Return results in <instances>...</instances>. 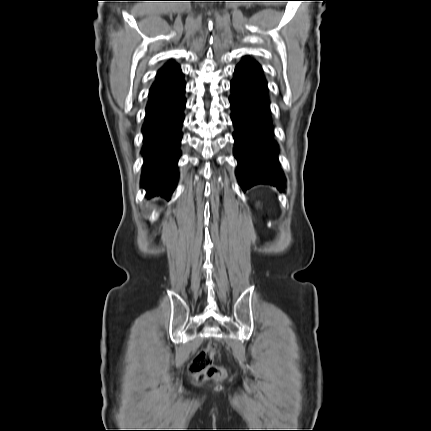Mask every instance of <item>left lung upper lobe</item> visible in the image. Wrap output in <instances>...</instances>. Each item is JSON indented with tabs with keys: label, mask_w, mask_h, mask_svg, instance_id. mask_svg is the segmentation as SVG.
<instances>
[{
	"label": "left lung upper lobe",
	"mask_w": 431,
	"mask_h": 431,
	"mask_svg": "<svg viewBox=\"0 0 431 431\" xmlns=\"http://www.w3.org/2000/svg\"><path fill=\"white\" fill-rule=\"evenodd\" d=\"M244 61H252V62H255V61H253V60H251V59H249V58L244 59L242 62H244Z\"/></svg>",
	"instance_id": "obj_1"
}]
</instances>
